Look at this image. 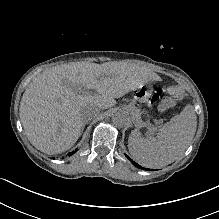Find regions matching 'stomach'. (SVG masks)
<instances>
[{"label": "stomach", "mask_w": 219, "mask_h": 219, "mask_svg": "<svg viewBox=\"0 0 219 219\" xmlns=\"http://www.w3.org/2000/svg\"><path fill=\"white\" fill-rule=\"evenodd\" d=\"M152 91H153L152 85L143 84L134 90V98L141 102L145 101L151 96Z\"/></svg>", "instance_id": "0dacf381"}]
</instances>
